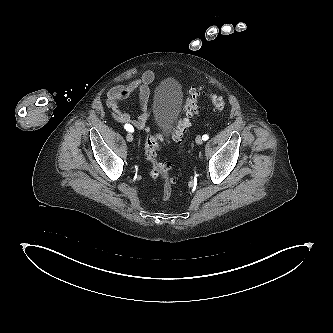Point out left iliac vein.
I'll return each mask as SVG.
<instances>
[{"instance_id": "4c4485c4", "label": "left iliac vein", "mask_w": 333, "mask_h": 333, "mask_svg": "<svg viewBox=\"0 0 333 333\" xmlns=\"http://www.w3.org/2000/svg\"><path fill=\"white\" fill-rule=\"evenodd\" d=\"M196 143H197L198 145H201V144L203 143V139H202V137H201L200 135H198V136L196 137Z\"/></svg>"}]
</instances>
